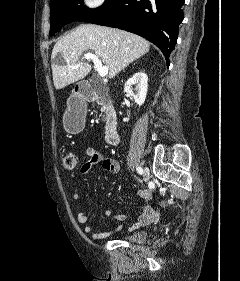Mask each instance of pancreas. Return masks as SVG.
Segmentation results:
<instances>
[{
  "instance_id": "1",
  "label": "pancreas",
  "mask_w": 240,
  "mask_h": 281,
  "mask_svg": "<svg viewBox=\"0 0 240 281\" xmlns=\"http://www.w3.org/2000/svg\"><path fill=\"white\" fill-rule=\"evenodd\" d=\"M108 96V94L107 93H103V97L105 98V97H107ZM101 111L102 112H106L107 113V109L103 106V107H101ZM105 118V115H103V119Z\"/></svg>"
}]
</instances>
